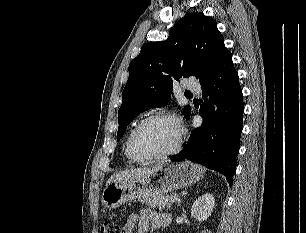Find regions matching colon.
Returning <instances> with one entry per match:
<instances>
[{
	"label": "colon",
	"mask_w": 306,
	"mask_h": 233,
	"mask_svg": "<svg viewBox=\"0 0 306 233\" xmlns=\"http://www.w3.org/2000/svg\"><path fill=\"white\" fill-rule=\"evenodd\" d=\"M102 233H123V228L113 220H105L101 224Z\"/></svg>",
	"instance_id": "1"
}]
</instances>
